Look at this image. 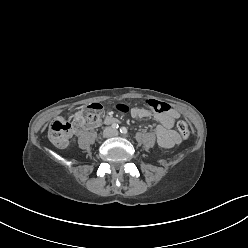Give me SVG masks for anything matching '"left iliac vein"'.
<instances>
[{
	"label": "left iliac vein",
	"instance_id": "left-iliac-vein-1",
	"mask_svg": "<svg viewBox=\"0 0 248 248\" xmlns=\"http://www.w3.org/2000/svg\"><path fill=\"white\" fill-rule=\"evenodd\" d=\"M118 134H119V132H118L117 130H114V131H113V135L116 136V135H118Z\"/></svg>",
	"mask_w": 248,
	"mask_h": 248
}]
</instances>
